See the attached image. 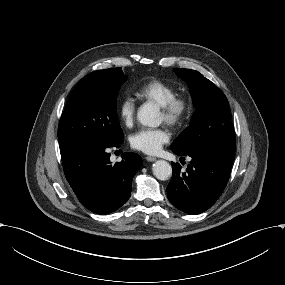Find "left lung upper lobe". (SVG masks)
I'll return each mask as SVG.
<instances>
[{"instance_id": "5c2ea615", "label": "left lung upper lobe", "mask_w": 285, "mask_h": 285, "mask_svg": "<svg viewBox=\"0 0 285 285\" xmlns=\"http://www.w3.org/2000/svg\"><path fill=\"white\" fill-rule=\"evenodd\" d=\"M174 72L188 84L196 111L190 126L173 142L171 150L177 155L218 142H234L231 111L224 93L201 73L175 68Z\"/></svg>"}]
</instances>
